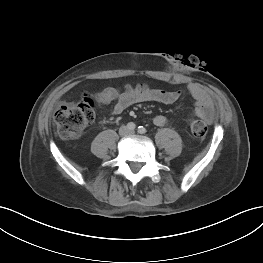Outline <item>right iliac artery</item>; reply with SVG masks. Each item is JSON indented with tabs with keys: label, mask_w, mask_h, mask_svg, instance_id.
<instances>
[{
	"label": "right iliac artery",
	"mask_w": 263,
	"mask_h": 263,
	"mask_svg": "<svg viewBox=\"0 0 263 263\" xmlns=\"http://www.w3.org/2000/svg\"><path fill=\"white\" fill-rule=\"evenodd\" d=\"M127 128H128L129 130H134V129L136 128V125H135L133 122H129V123L127 124Z\"/></svg>",
	"instance_id": "right-iliac-artery-1"
}]
</instances>
